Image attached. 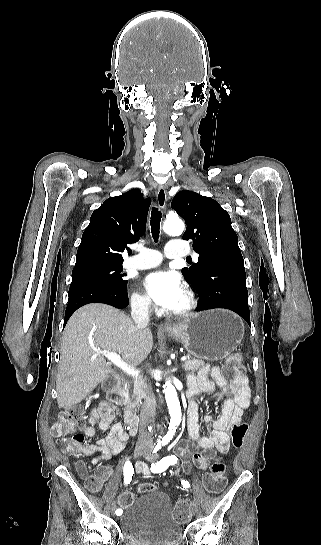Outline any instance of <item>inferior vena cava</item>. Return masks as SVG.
Masks as SVG:
<instances>
[{"label": "inferior vena cava", "instance_id": "obj_1", "mask_svg": "<svg viewBox=\"0 0 321 545\" xmlns=\"http://www.w3.org/2000/svg\"><path fill=\"white\" fill-rule=\"evenodd\" d=\"M149 305H151V301H147V299H145V301H143V299H135V301H132L131 317L138 327H147L149 323ZM155 405L154 393L151 387H148L145 393L144 403L141 407L139 435L136 444L137 449L140 451H148L152 447V435L151 433H148L146 427L147 425H150V423H154Z\"/></svg>", "mask_w": 321, "mask_h": 545}]
</instances>
